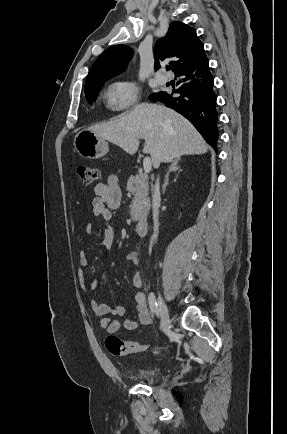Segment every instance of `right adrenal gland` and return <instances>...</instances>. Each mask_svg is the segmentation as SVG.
<instances>
[{"instance_id":"1","label":"right adrenal gland","mask_w":287,"mask_h":434,"mask_svg":"<svg viewBox=\"0 0 287 434\" xmlns=\"http://www.w3.org/2000/svg\"><path fill=\"white\" fill-rule=\"evenodd\" d=\"M179 161H180V158L174 159V160L172 161V163H171V165H170V167H169V170H168V172H167L166 175H165L164 184H163V186H162V187H163V190H165L166 186H167L168 183H169V175H170V173H171V172H175V171H177L178 169H180V167L178 166Z\"/></svg>"}]
</instances>
